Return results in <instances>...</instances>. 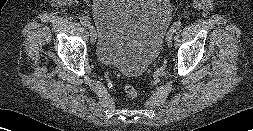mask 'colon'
<instances>
[{"label": "colon", "instance_id": "obj_1", "mask_svg": "<svg viewBox=\"0 0 253 131\" xmlns=\"http://www.w3.org/2000/svg\"><path fill=\"white\" fill-rule=\"evenodd\" d=\"M124 91L129 98H135L138 94L136 88L131 84H126L124 86Z\"/></svg>", "mask_w": 253, "mask_h": 131}]
</instances>
